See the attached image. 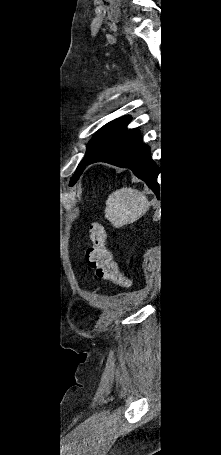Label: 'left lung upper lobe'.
<instances>
[{"instance_id":"5c2ea615","label":"left lung upper lobe","mask_w":221,"mask_h":455,"mask_svg":"<svg viewBox=\"0 0 221 455\" xmlns=\"http://www.w3.org/2000/svg\"><path fill=\"white\" fill-rule=\"evenodd\" d=\"M131 120L130 116H124L116 119L105 126H103L90 140L87 145V150L84 159L80 162L77 167L75 175L72 177L71 182H75L82 174L87 163L100 152L109 142L124 132L127 128V124Z\"/></svg>"}]
</instances>
